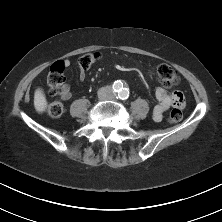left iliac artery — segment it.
I'll return each mask as SVG.
<instances>
[{"mask_svg": "<svg viewBox=\"0 0 222 222\" xmlns=\"http://www.w3.org/2000/svg\"><path fill=\"white\" fill-rule=\"evenodd\" d=\"M122 100L127 99L128 96H126L124 93H121L119 96Z\"/></svg>", "mask_w": 222, "mask_h": 222, "instance_id": "1", "label": "left iliac artery"}]
</instances>
